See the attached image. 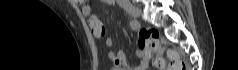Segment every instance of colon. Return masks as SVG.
Masks as SVG:
<instances>
[{"label":"colon","instance_id":"1","mask_svg":"<svg viewBox=\"0 0 238 70\" xmlns=\"http://www.w3.org/2000/svg\"><path fill=\"white\" fill-rule=\"evenodd\" d=\"M145 40V47L148 53L155 54L154 65L158 69H163L165 66L163 53H166L170 60V70H187L184 62L179 58L178 54L171 50H164L158 45L157 33L155 31H145L142 33Z\"/></svg>","mask_w":238,"mask_h":70}]
</instances>
